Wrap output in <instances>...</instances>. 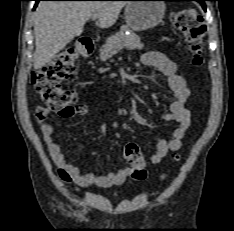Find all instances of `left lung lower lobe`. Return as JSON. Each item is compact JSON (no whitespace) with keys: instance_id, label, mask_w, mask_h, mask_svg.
I'll list each match as a JSON object with an SVG mask.
<instances>
[{"instance_id":"0a47b994","label":"left lung lower lobe","mask_w":234,"mask_h":231,"mask_svg":"<svg viewBox=\"0 0 234 231\" xmlns=\"http://www.w3.org/2000/svg\"><path fill=\"white\" fill-rule=\"evenodd\" d=\"M167 1H171V0H167ZM178 1H197L202 5V8L204 9V11H206L205 1H209V0H178Z\"/></svg>"}]
</instances>
